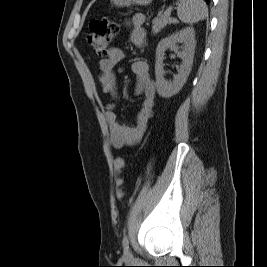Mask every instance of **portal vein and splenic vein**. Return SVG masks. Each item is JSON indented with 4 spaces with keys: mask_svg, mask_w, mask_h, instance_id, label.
I'll list each match as a JSON object with an SVG mask.
<instances>
[{
    "mask_svg": "<svg viewBox=\"0 0 267 267\" xmlns=\"http://www.w3.org/2000/svg\"><path fill=\"white\" fill-rule=\"evenodd\" d=\"M171 10H172V8H168V9L164 12V15H165V16H170V15H171Z\"/></svg>",
    "mask_w": 267,
    "mask_h": 267,
    "instance_id": "18ae733b",
    "label": "portal vein and splenic vein"
}]
</instances>
